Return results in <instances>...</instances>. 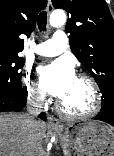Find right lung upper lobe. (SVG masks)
<instances>
[{
	"mask_svg": "<svg viewBox=\"0 0 114 156\" xmlns=\"http://www.w3.org/2000/svg\"><path fill=\"white\" fill-rule=\"evenodd\" d=\"M47 0H0V55H19L24 48L21 34L30 35Z\"/></svg>",
	"mask_w": 114,
	"mask_h": 156,
	"instance_id": "obj_1",
	"label": "right lung upper lobe"
}]
</instances>
